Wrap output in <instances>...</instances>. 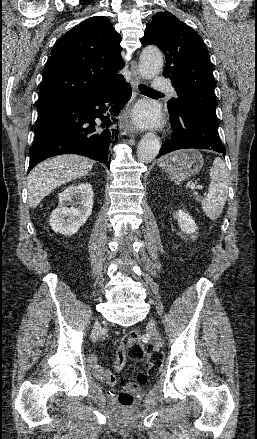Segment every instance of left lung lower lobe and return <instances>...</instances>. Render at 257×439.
<instances>
[{"instance_id":"1","label":"left lung lower lobe","mask_w":257,"mask_h":439,"mask_svg":"<svg viewBox=\"0 0 257 439\" xmlns=\"http://www.w3.org/2000/svg\"><path fill=\"white\" fill-rule=\"evenodd\" d=\"M169 113L173 134L171 139L163 142L157 158L175 150L188 148L214 150L225 157L226 149L217 133L216 118L199 109Z\"/></svg>"}]
</instances>
